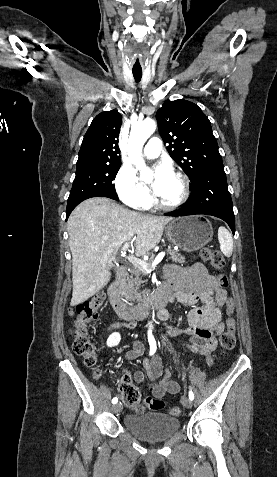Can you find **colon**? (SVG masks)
I'll use <instances>...</instances> for the list:
<instances>
[{"label":"colon","mask_w":277,"mask_h":477,"mask_svg":"<svg viewBox=\"0 0 277 477\" xmlns=\"http://www.w3.org/2000/svg\"><path fill=\"white\" fill-rule=\"evenodd\" d=\"M201 258L208 262L214 269L220 271L225 265L223 254L218 250L204 248L201 250ZM217 280L222 287L228 286V278L224 273H218ZM105 299L104 293H96L90 300H86L78 304L72 311L74 316L70 334L73 337V350L83 358L84 363L93 368L95 376L99 377L101 374L98 368V357L96 350L87 336V325L98 317V309L103 304ZM223 310L227 312L225 316V324L227 330L221 335L220 345L224 351L232 350L236 344L234 312L236 310V300L230 297L223 305ZM120 393L124 403L131 409L142 412L144 406L152 411H159L164 407V402L161 399L152 397L146 398L142 401L140 388L134 385L131 381H123L120 385ZM170 414L179 416L181 409L173 407L170 409Z\"/></svg>","instance_id":"5ec220e1"}]
</instances>
